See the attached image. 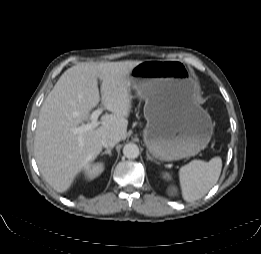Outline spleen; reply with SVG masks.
<instances>
[{"label":"spleen","instance_id":"1","mask_svg":"<svg viewBox=\"0 0 261 254\" xmlns=\"http://www.w3.org/2000/svg\"><path fill=\"white\" fill-rule=\"evenodd\" d=\"M222 169L220 157L209 162L192 160L179 170L182 197L187 202L196 201L205 196L217 183Z\"/></svg>","mask_w":261,"mask_h":254}]
</instances>
